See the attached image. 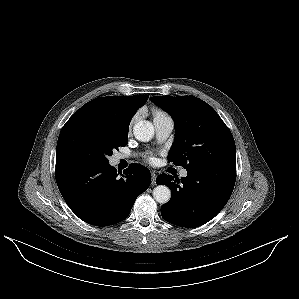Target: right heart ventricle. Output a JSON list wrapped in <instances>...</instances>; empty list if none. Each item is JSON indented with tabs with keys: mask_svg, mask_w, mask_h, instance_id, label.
<instances>
[{
	"mask_svg": "<svg viewBox=\"0 0 299 299\" xmlns=\"http://www.w3.org/2000/svg\"><path fill=\"white\" fill-rule=\"evenodd\" d=\"M153 116H154V119H155V118L162 117V116H167V115L160 109H154L153 110Z\"/></svg>",
	"mask_w": 299,
	"mask_h": 299,
	"instance_id": "1",
	"label": "right heart ventricle"
}]
</instances>
